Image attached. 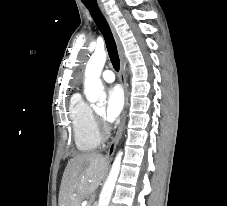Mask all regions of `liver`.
I'll list each match as a JSON object with an SVG mask.
<instances>
[{"label":"liver","instance_id":"1","mask_svg":"<svg viewBox=\"0 0 227 206\" xmlns=\"http://www.w3.org/2000/svg\"><path fill=\"white\" fill-rule=\"evenodd\" d=\"M106 158L98 153L78 154L68 162L61 181L59 206H80L100 185L107 171Z\"/></svg>","mask_w":227,"mask_h":206}]
</instances>
